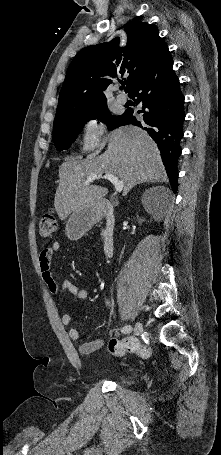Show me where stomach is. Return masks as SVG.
<instances>
[{
    "label": "stomach",
    "mask_w": 221,
    "mask_h": 455,
    "mask_svg": "<svg viewBox=\"0 0 221 455\" xmlns=\"http://www.w3.org/2000/svg\"><path fill=\"white\" fill-rule=\"evenodd\" d=\"M102 216L100 201L86 203L75 209L65 222V233L72 241L79 240Z\"/></svg>",
    "instance_id": "stomach-1"
}]
</instances>
